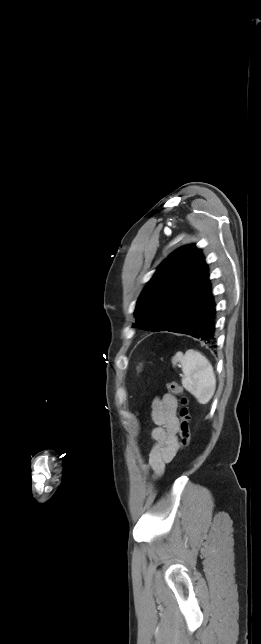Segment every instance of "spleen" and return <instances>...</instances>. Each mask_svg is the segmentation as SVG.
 I'll return each mask as SVG.
<instances>
[{"instance_id": "obj_1", "label": "spleen", "mask_w": 261, "mask_h": 644, "mask_svg": "<svg viewBox=\"0 0 261 644\" xmlns=\"http://www.w3.org/2000/svg\"><path fill=\"white\" fill-rule=\"evenodd\" d=\"M181 364L183 387L191 393L200 404H207L216 389V378L213 367L200 352L190 349L183 354L177 352L172 357V364Z\"/></svg>"}]
</instances>
